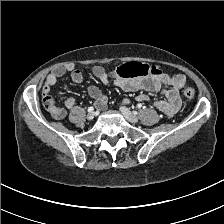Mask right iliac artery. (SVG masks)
I'll return each mask as SVG.
<instances>
[{
	"label": "right iliac artery",
	"mask_w": 224,
	"mask_h": 224,
	"mask_svg": "<svg viewBox=\"0 0 224 224\" xmlns=\"http://www.w3.org/2000/svg\"><path fill=\"white\" fill-rule=\"evenodd\" d=\"M93 110H94L93 107H89L87 111H88V112H93Z\"/></svg>",
	"instance_id": "right-iliac-artery-1"
}]
</instances>
